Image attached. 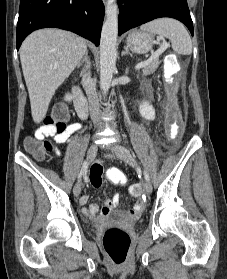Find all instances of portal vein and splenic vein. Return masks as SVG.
<instances>
[{"label": "portal vein and splenic vein", "instance_id": "portal-vein-and-splenic-vein-1", "mask_svg": "<svg viewBox=\"0 0 227 279\" xmlns=\"http://www.w3.org/2000/svg\"><path fill=\"white\" fill-rule=\"evenodd\" d=\"M167 48H168V44L165 41H163L160 48L157 49L154 53H152V55L147 60L142 61L136 65V69H140V68L148 65L154 59L158 58Z\"/></svg>", "mask_w": 227, "mask_h": 279}]
</instances>
